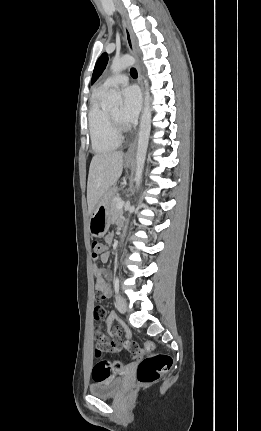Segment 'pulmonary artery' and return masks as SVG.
Returning a JSON list of instances; mask_svg holds the SVG:
<instances>
[{"label":"pulmonary artery","mask_w":261,"mask_h":431,"mask_svg":"<svg viewBox=\"0 0 261 431\" xmlns=\"http://www.w3.org/2000/svg\"><path fill=\"white\" fill-rule=\"evenodd\" d=\"M128 83V76L126 74L120 73L112 75L106 78L103 83L100 85V88L103 90H107L113 86H122Z\"/></svg>","instance_id":"pulmonary-artery-1"}]
</instances>
